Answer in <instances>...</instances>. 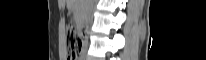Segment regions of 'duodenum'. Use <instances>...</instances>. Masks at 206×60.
I'll use <instances>...</instances> for the list:
<instances>
[{
    "mask_svg": "<svg viewBox=\"0 0 206 60\" xmlns=\"http://www.w3.org/2000/svg\"><path fill=\"white\" fill-rule=\"evenodd\" d=\"M80 29H81L82 34H85L87 31V28L85 26H81Z\"/></svg>",
    "mask_w": 206,
    "mask_h": 60,
    "instance_id": "1",
    "label": "duodenum"
}]
</instances>
